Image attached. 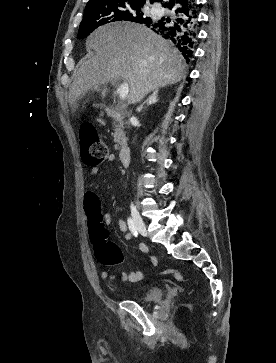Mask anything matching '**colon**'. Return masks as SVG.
I'll list each match as a JSON object with an SVG mask.
<instances>
[{
	"label": "colon",
	"instance_id": "1",
	"mask_svg": "<svg viewBox=\"0 0 276 363\" xmlns=\"http://www.w3.org/2000/svg\"><path fill=\"white\" fill-rule=\"evenodd\" d=\"M80 138L81 154L85 163L88 165L100 164L107 156V147L99 137L94 126L91 124L82 126L80 128ZM87 214L96 259L106 266L121 263L123 260L122 252L115 243L107 240L108 232L98 217L97 210L88 208ZM167 273L173 275L178 280L183 279V275L176 270H168Z\"/></svg>",
	"mask_w": 276,
	"mask_h": 363
}]
</instances>
